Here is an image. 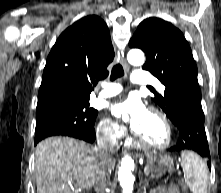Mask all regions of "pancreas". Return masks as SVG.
<instances>
[{"instance_id":"cf45deb5","label":"pancreas","mask_w":221,"mask_h":193,"mask_svg":"<svg viewBox=\"0 0 221 193\" xmlns=\"http://www.w3.org/2000/svg\"><path fill=\"white\" fill-rule=\"evenodd\" d=\"M170 170H171V168H170ZM153 172H154V174L152 175V177L159 178L165 173V169H161V170H154L153 169Z\"/></svg>"}]
</instances>
